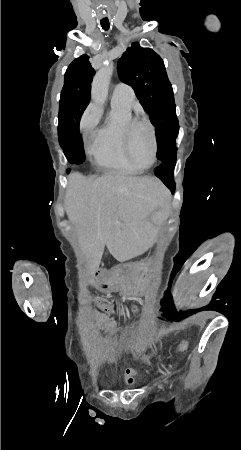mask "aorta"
Segmentation results:
<instances>
[{
	"label": "aorta",
	"instance_id": "762f6f07",
	"mask_svg": "<svg viewBox=\"0 0 241 450\" xmlns=\"http://www.w3.org/2000/svg\"><path fill=\"white\" fill-rule=\"evenodd\" d=\"M113 69V64H106L93 78L92 100L99 105L103 104L106 100Z\"/></svg>",
	"mask_w": 241,
	"mask_h": 450
}]
</instances>
